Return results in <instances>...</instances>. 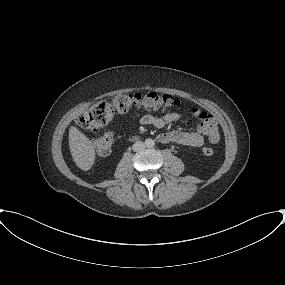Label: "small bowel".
Masks as SVG:
<instances>
[{
	"label": "small bowel",
	"instance_id": "c3829d8e",
	"mask_svg": "<svg viewBox=\"0 0 285 285\" xmlns=\"http://www.w3.org/2000/svg\"><path fill=\"white\" fill-rule=\"evenodd\" d=\"M180 118L178 113L170 112L162 116L144 115L140 118V123L143 125H150L156 128H162L169 125ZM158 140L162 143H177L181 145L200 147L204 144L205 138L201 131H179L174 130L167 133L160 134Z\"/></svg>",
	"mask_w": 285,
	"mask_h": 285
}]
</instances>
